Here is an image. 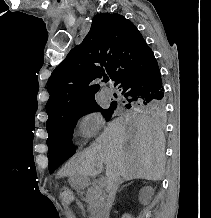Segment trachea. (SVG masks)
Segmentation results:
<instances>
[{"instance_id":"obj_1","label":"trachea","mask_w":211,"mask_h":218,"mask_svg":"<svg viewBox=\"0 0 211 218\" xmlns=\"http://www.w3.org/2000/svg\"><path fill=\"white\" fill-rule=\"evenodd\" d=\"M104 81H109V77H104Z\"/></svg>"}]
</instances>
